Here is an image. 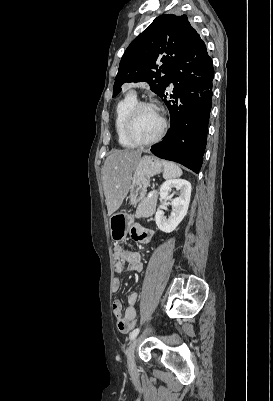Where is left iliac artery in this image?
<instances>
[{"label": "left iliac artery", "instance_id": "obj_1", "mask_svg": "<svg viewBox=\"0 0 273 401\" xmlns=\"http://www.w3.org/2000/svg\"><path fill=\"white\" fill-rule=\"evenodd\" d=\"M139 331H140L139 328H136L135 330H133L129 335L130 336V340L135 339V337L138 335Z\"/></svg>", "mask_w": 273, "mask_h": 401}]
</instances>
